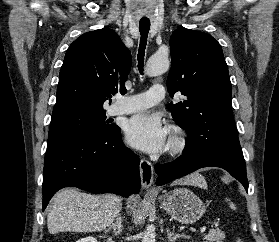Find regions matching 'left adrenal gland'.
<instances>
[{"instance_id": "1", "label": "left adrenal gland", "mask_w": 279, "mask_h": 242, "mask_svg": "<svg viewBox=\"0 0 279 242\" xmlns=\"http://www.w3.org/2000/svg\"><path fill=\"white\" fill-rule=\"evenodd\" d=\"M167 233H168V239L170 240V242L175 241L177 238H188V236L185 235L184 233L174 234V232H170L169 230H167Z\"/></svg>"}]
</instances>
